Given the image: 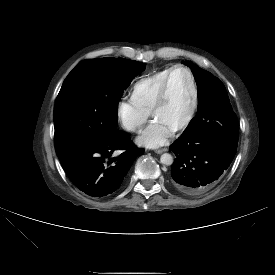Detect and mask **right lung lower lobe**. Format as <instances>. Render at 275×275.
<instances>
[{
    "label": "right lung lower lobe",
    "mask_w": 275,
    "mask_h": 275,
    "mask_svg": "<svg viewBox=\"0 0 275 275\" xmlns=\"http://www.w3.org/2000/svg\"><path fill=\"white\" fill-rule=\"evenodd\" d=\"M123 150L113 158V152ZM144 150L121 131L72 146L57 154L74 185L92 197H102L119 188L135 158Z\"/></svg>",
    "instance_id": "obj_1"
}]
</instances>
